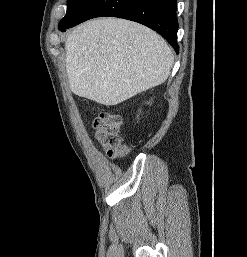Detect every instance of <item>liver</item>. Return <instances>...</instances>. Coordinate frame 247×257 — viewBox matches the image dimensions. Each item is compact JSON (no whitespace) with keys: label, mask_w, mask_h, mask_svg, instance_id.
<instances>
[{"label":"liver","mask_w":247,"mask_h":257,"mask_svg":"<svg viewBox=\"0 0 247 257\" xmlns=\"http://www.w3.org/2000/svg\"><path fill=\"white\" fill-rule=\"evenodd\" d=\"M65 50L71 91L106 106L162 84L174 63L159 34L119 18L79 25L69 34Z\"/></svg>","instance_id":"6515ba94"}]
</instances>
